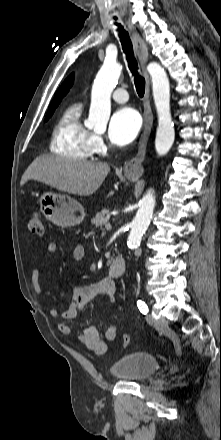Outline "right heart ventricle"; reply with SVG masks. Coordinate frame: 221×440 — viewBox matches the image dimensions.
I'll return each mask as SVG.
<instances>
[{"label":"right heart ventricle","mask_w":221,"mask_h":440,"mask_svg":"<svg viewBox=\"0 0 221 440\" xmlns=\"http://www.w3.org/2000/svg\"><path fill=\"white\" fill-rule=\"evenodd\" d=\"M82 105L74 102L59 115L53 129L51 151L75 160H87L92 154L91 131L81 122Z\"/></svg>","instance_id":"obj_1"}]
</instances>
